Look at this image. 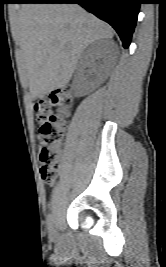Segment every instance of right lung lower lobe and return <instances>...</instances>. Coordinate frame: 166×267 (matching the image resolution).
Returning a JSON list of instances; mask_svg holds the SVG:
<instances>
[{
    "label": "right lung lower lobe",
    "mask_w": 166,
    "mask_h": 267,
    "mask_svg": "<svg viewBox=\"0 0 166 267\" xmlns=\"http://www.w3.org/2000/svg\"><path fill=\"white\" fill-rule=\"evenodd\" d=\"M19 3H77L109 23L128 48L134 31L141 0H21Z\"/></svg>",
    "instance_id": "obj_1"
}]
</instances>
